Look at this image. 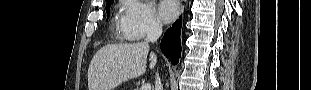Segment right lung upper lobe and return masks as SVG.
I'll return each mask as SVG.
<instances>
[{"mask_svg":"<svg viewBox=\"0 0 311 90\" xmlns=\"http://www.w3.org/2000/svg\"><path fill=\"white\" fill-rule=\"evenodd\" d=\"M112 0H107V3L111 2Z\"/></svg>","mask_w":311,"mask_h":90,"instance_id":"cb5924a9","label":"right lung upper lobe"}]
</instances>
